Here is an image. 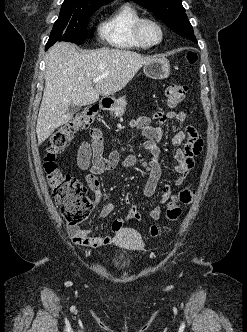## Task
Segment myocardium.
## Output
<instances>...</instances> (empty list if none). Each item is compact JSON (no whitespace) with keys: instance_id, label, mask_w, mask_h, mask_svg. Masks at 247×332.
<instances>
[{"instance_id":"myocardium-1","label":"myocardium","mask_w":247,"mask_h":332,"mask_svg":"<svg viewBox=\"0 0 247 332\" xmlns=\"http://www.w3.org/2000/svg\"><path fill=\"white\" fill-rule=\"evenodd\" d=\"M147 22H151V23L155 24L157 26L158 30H159V33H160L159 40L154 42V43L147 42L143 37L142 28H143V25ZM134 34H135L136 39L143 46H145L146 48H150V47H154V46L160 44L163 41L164 29H163V26L161 25V23L158 20H156L154 18H151V17H142L136 22V24L134 26Z\"/></svg>"}]
</instances>
